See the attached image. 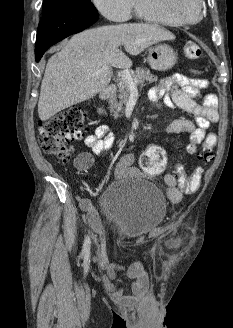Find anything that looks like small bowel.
<instances>
[{
	"mask_svg": "<svg viewBox=\"0 0 233 328\" xmlns=\"http://www.w3.org/2000/svg\"><path fill=\"white\" fill-rule=\"evenodd\" d=\"M208 86V81L201 78H193L184 74H174L161 81L149 91L151 101L163 100L168 108L178 107L193 117V120L178 118L173 120L166 128L168 134L186 133L188 143L186 151L189 155L198 153V146L205 141L206 131L212 123L219 120L218 101L215 95L208 94L202 102H199L200 90ZM85 145L97 155H104L114 143V135L107 125L101 124L96 127L93 134L84 140ZM134 154L124 155L118 162L116 176L119 179H136L145 177L146 173L136 164ZM167 187V197L172 203H178L182 199V192L177 187V178L168 173L164 177ZM80 207L87 213V219L95 230L99 229V219L97 213L88 199L80 200ZM119 272H124L130 279V292L126 293L119 288L116 277ZM105 289L110 293L111 298L121 304H132L143 298L149 288V277L139 261L131 263L129 266L111 264L103 276Z\"/></svg>",
	"mask_w": 233,
	"mask_h": 328,
	"instance_id": "small-bowel-1",
	"label": "small bowel"
}]
</instances>
